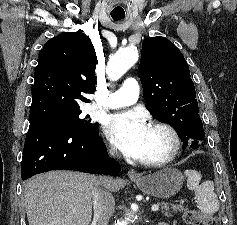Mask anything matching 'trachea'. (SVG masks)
I'll list each match as a JSON object with an SVG mask.
<instances>
[{
  "instance_id": "trachea-1",
  "label": "trachea",
  "mask_w": 237,
  "mask_h": 225,
  "mask_svg": "<svg viewBox=\"0 0 237 225\" xmlns=\"http://www.w3.org/2000/svg\"><path fill=\"white\" fill-rule=\"evenodd\" d=\"M111 17L116 21L121 20L122 18H124L123 15H114V14H111Z\"/></svg>"
}]
</instances>
